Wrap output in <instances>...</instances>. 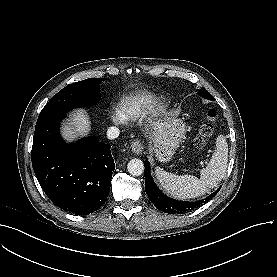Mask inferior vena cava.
<instances>
[{"mask_svg":"<svg viewBox=\"0 0 277 277\" xmlns=\"http://www.w3.org/2000/svg\"><path fill=\"white\" fill-rule=\"evenodd\" d=\"M119 129L117 127H109V129L107 130V137L108 139H115L119 136Z\"/></svg>","mask_w":277,"mask_h":277,"instance_id":"1","label":"inferior vena cava"}]
</instances>
